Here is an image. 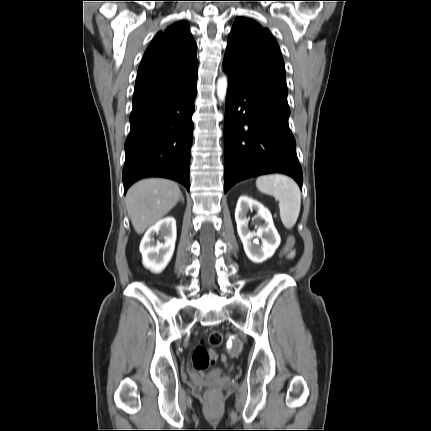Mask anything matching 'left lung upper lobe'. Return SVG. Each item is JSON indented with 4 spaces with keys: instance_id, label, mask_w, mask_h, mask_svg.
Returning <instances> with one entry per match:
<instances>
[{
    "instance_id": "left-lung-upper-lobe-1",
    "label": "left lung upper lobe",
    "mask_w": 431,
    "mask_h": 431,
    "mask_svg": "<svg viewBox=\"0 0 431 431\" xmlns=\"http://www.w3.org/2000/svg\"><path fill=\"white\" fill-rule=\"evenodd\" d=\"M223 67L231 80L288 106L279 46L270 31L257 22L246 18L235 20Z\"/></svg>"
}]
</instances>
